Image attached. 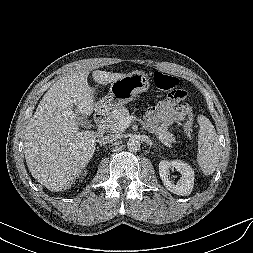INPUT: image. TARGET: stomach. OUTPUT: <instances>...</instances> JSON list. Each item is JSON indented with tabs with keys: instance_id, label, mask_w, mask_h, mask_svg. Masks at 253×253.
<instances>
[{
	"instance_id": "stomach-1",
	"label": "stomach",
	"mask_w": 253,
	"mask_h": 253,
	"mask_svg": "<svg viewBox=\"0 0 253 253\" xmlns=\"http://www.w3.org/2000/svg\"><path fill=\"white\" fill-rule=\"evenodd\" d=\"M149 88V79L144 72L133 71L111 84L109 93L98 104L100 112L109 113L132 101L136 95Z\"/></svg>"
}]
</instances>
